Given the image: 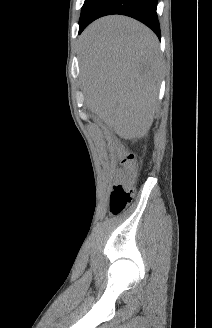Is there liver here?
<instances>
[{
    "instance_id": "obj_1",
    "label": "liver",
    "mask_w": 212,
    "mask_h": 328,
    "mask_svg": "<svg viewBox=\"0 0 212 328\" xmlns=\"http://www.w3.org/2000/svg\"><path fill=\"white\" fill-rule=\"evenodd\" d=\"M79 56L88 108L124 139L144 135L161 78L154 33L129 17H103L82 33Z\"/></svg>"
}]
</instances>
